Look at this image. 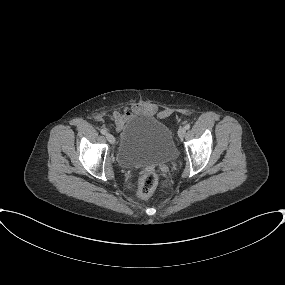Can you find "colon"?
Listing matches in <instances>:
<instances>
[{"mask_svg": "<svg viewBox=\"0 0 285 285\" xmlns=\"http://www.w3.org/2000/svg\"><path fill=\"white\" fill-rule=\"evenodd\" d=\"M157 185V176L153 171H146L138 185V196L142 199L148 198Z\"/></svg>", "mask_w": 285, "mask_h": 285, "instance_id": "obj_1", "label": "colon"}]
</instances>
